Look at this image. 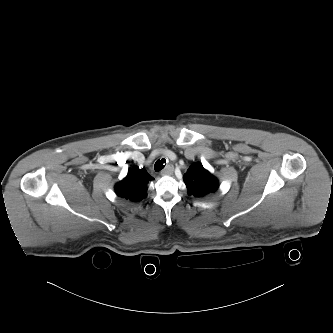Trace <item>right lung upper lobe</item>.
I'll return each instance as SVG.
<instances>
[{
	"label": "right lung upper lobe",
	"instance_id": "1",
	"mask_svg": "<svg viewBox=\"0 0 333 333\" xmlns=\"http://www.w3.org/2000/svg\"><path fill=\"white\" fill-rule=\"evenodd\" d=\"M153 179L144 168L134 167L115 185V193L131 202H139L146 197L147 184Z\"/></svg>",
	"mask_w": 333,
	"mask_h": 333
}]
</instances>
